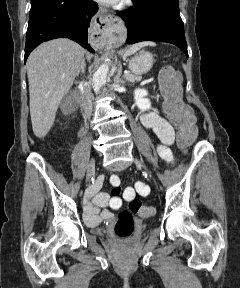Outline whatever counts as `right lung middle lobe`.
<instances>
[{
    "label": "right lung middle lobe",
    "instance_id": "obj_1",
    "mask_svg": "<svg viewBox=\"0 0 240 288\" xmlns=\"http://www.w3.org/2000/svg\"><path fill=\"white\" fill-rule=\"evenodd\" d=\"M36 0H31V3L35 2Z\"/></svg>",
    "mask_w": 240,
    "mask_h": 288
}]
</instances>
